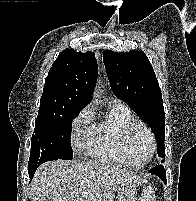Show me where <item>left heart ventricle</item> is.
Returning a JSON list of instances; mask_svg holds the SVG:
<instances>
[{"label":"left heart ventricle","mask_w":196,"mask_h":201,"mask_svg":"<svg viewBox=\"0 0 196 201\" xmlns=\"http://www.w3.org/2000/svg\"><path fill=\"white\" fill-rule=\"evenodd\" d=\"M129 150L131 161L134 164L144 163L151 150L149 135L142 127H136L130 134Z\"/></svg>","instance_id":"obj_1"}]
</instances>
